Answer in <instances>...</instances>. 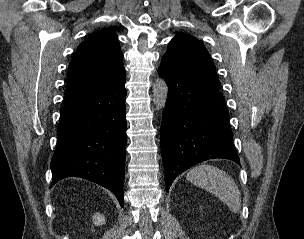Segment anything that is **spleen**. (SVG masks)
<instances>
[{
    "label": "spleen",
    "instance_id": "1",
    "mask_svg": "<svg viewBox=\"0 0 304 239\" xmlns=\"http://www.w3.org/2000/svg\"><path fill=\"white\" fill-rule=\"evenodd\" d=\"M186 179L217 196L231 212H240V191L233 178L226 172L217 167L202 164L192 168L187 173Z\"/></svg>",
    "mask_w": 304,
    "mask_h": 239
}]
</instances>
